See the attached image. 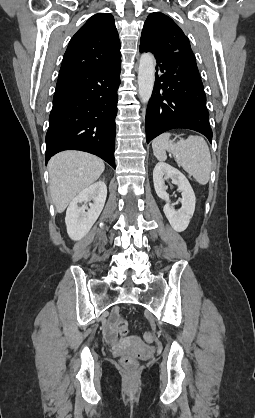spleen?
Here are the masks:
<instances>
[{"instance_id": "spleen-1", "label": "spleen", "mask_w": 255, "mask_h": 418, "mask_svg": "<svg viewBox=\"0 0 255 418\" xmlns=\"http://www.w3.org/2000/svg\"><path fill=\"white\" fill-rule=\"evenodd\" d=\"M170 133L156 137L152 142L153 153L159 161L167 159L166 151L171 152L175 161L199 184L206 185L212 170L209 147L201 136L190 135L177 143L169 140Z\"/></svg>"}]
</instances>
